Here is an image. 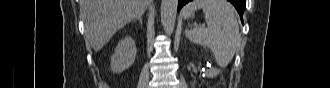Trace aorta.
Instances as JSON below:
<instances>
[{
  "mask_svg": "<svg viewBox=\"0 0 330 88\" xmlns=\"http://www.w3.org/2000/svg\"><path fill=\"white\" fill-rule=\"evenodd\" d=\"M178 0H162L161 23L166 33L171 34L175 28Z\"/></svg>",
  "mask_w": 330,
  "mask_h": 88,
  "instance_id": "762f6f07",
  "label": "aorta"
}]
</instances>
